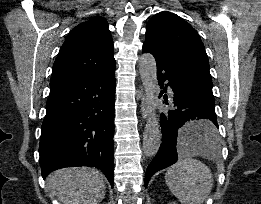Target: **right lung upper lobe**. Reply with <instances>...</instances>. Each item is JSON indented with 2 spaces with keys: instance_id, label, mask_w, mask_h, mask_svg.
Wrapping results in <instances>:
<instances>
[{
  "instance_id": "cb5924a9",
  "label": "right lung upper lobe",
  "mask_w": 261,
  "mask_h": 204,
  "mask_svg": "<svg viewBox=\"0 0 261 204\" xmlns=\"http://www.w3.org/2000/svg\"><path fill=\"white\" fill-rule=\"evenodd\" d=\"M113 65V41L108 24L102 17H93L67 35L54 62L50 86L95 75Z\"/></svg>"
}]
</instances>
